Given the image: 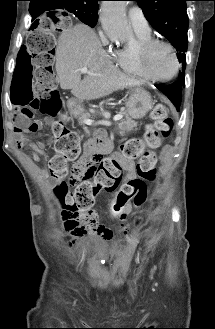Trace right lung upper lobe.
I'll use <instances>...</instances> for the list:
<instances>
[{
    "instance_id": "right-lung-upper-lobe-1",
    "label": "right lung upper lobe",
    "mask_w": 215,
    "mask_h": 329,
    "mask_svg": "<svg viewBox=\"0 0 215 329\" xmlns=\"http://www.w3.org/2000/svg\"><path fill=\"white\" fill-rule=\"evenodd\" d=\"M30 1L36 3L39 6V9L35 11V13H37L36 17H38L45 11L54 10V9H63L62 8L63 4L76 3V4H82L85 7L86 13L89 17L93 19H97V10H98L97 2L100 0H30ZM36 17H34V19Z\"/></svg>"
}]
</instances>
